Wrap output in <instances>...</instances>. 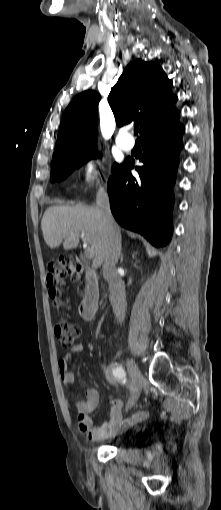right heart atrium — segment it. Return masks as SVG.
<instances>
[{
  "mask_svg": "<svg viewBox=\"0 0 221 510\" xmlns=\"http://www.w3.org/2000/svg\"><path fill=\"white\" fill-rule=\"evenodd\" d=\"M101 166L92 156H87L81 167V189L98 185L101 181Z\"/></svg>",
  "mask_w": 221,
  "mask_h": 510,
  "instance_id": "d8ad5b80",
  "label": "right heart atrium"
}]
</instances>
